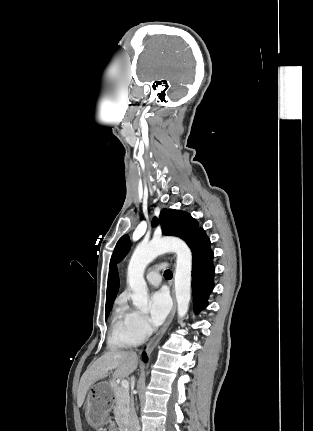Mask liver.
I'll list each match as a JSON object with an SVG mask.
<instances>
[{
	"mask_svg": "<svg viewBox=\"0 0 313 431\" xmlns=\"http://www.w3.org/2000/svg\"><path fill=\"white\" fill-rule=\"evenodd\" d=\"M138 366V356L134 352L111 350L92 363L80 379L77 391V405L81 407L87 391L96 381L105 378L114 370V379L128 377Z\"/></svg>",
	"mask_w": 313,
	"mask_h": 431,
	"instance_id": "6515ba94",
	"label": "liver"
}]
</instances>
